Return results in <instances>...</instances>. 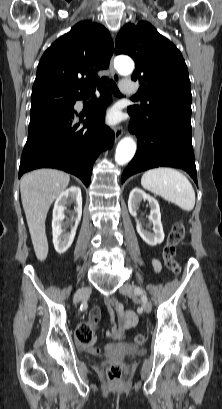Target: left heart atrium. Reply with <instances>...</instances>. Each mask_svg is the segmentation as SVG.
<instances>
[{
  "mask_svg": "<svg viewBox=\"0 0 222 409\" xmlns=\"http://www.w3.org/2000/svg\"><path fill=\"white\" fill-rule=\"evenodd\" d=\"M118 121V115L115 111H110L107 115V122L109 124H115Z\"/></svg>",
  "mask_w": 222,
  "mask_h": 409,
  "instance_id": "1",
  "label": "left heart atrium"
}]
</instances>
